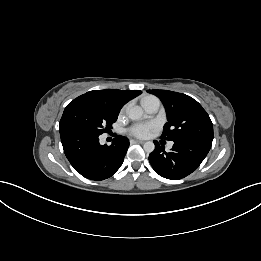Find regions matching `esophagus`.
Instances as JSON below:
<instances>
[{
  "label": "esophagus",
  "mask_w": 261,
  "mask_h": 261,
  "mask_svg": "<svg viewBox=\"0 0 261 261\" xmlns=\"http://www.w3.org/2000/svg\"><path fill=\"white\" fill-rule=\"evenodd\" d=\"M132 141L135 142V143H139V144H143L144 143L143 140H132Z\"/></svg>",
  "instance_id": "obj_1"
}]
</instances>
